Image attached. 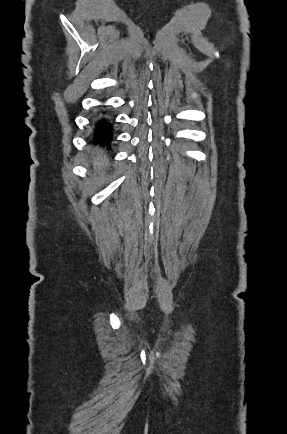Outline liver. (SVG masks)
<instances>
[{"instance_id":"1","label":"liver","mask_w":287,"mask_h":434,"mask_svg":"<svg viewBox=\"0 0 287 434\" xmlns=\"http://www.w3.org/2000/svg\"><path fill=\"white\" fill-rule=\"evenodd\" d=\"M102 162H103V158H102L101 156H97V157L95 158L94 165H95V166H99V165L102 164Z\"/></svg>"}]
</instances>
